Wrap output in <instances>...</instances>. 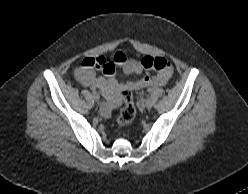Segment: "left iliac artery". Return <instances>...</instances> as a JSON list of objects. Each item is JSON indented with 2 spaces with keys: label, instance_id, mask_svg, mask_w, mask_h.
I'll return each mask as SVG.
<instances>
[{
  "label": "left iliac artery",
  "instance_id": "left-iliac-artery-1",
  "mask_svg": "<svg viewBox=\"0 0 248 194\" xmlns=\"http://www.w3.org/2000/svg\"><path fill=\"white\" fill-rule=\"evenodd\" d=\"M148 92H149V93H151V92H152V90H151V89H149V90H148Z\"/></svg>",
  "mask_w": 248,
  "mask_h": 194
}]
</instances>
